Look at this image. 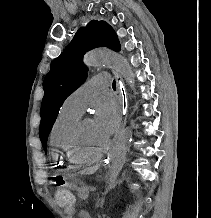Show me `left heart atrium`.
<instances>
[{"mask_svg":"<svg viewBox=\"0 0 211 218\" xmlns=\"http://www.w3.org/2000/svg\"><path fill=\"white\" fill-rule=\"evenodd\" d=\"M94 124L97 130L110 137L118 128L120 113L116 100L111 95H102L95 100Z\"/></svg>","mask_w":211,"mask_h":218,"instance_id":"39dd6f15","label":"left heart atrium"}]
</instances>
